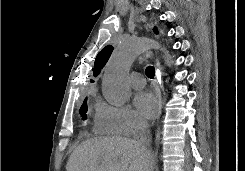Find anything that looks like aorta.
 <instances>
[{"mask_svg":"<svg viewBox=\"0 0 245 171\" xmlns=\"http://www.w3.org/2000/svg\"><path fill=\"white\" fill-rule=\"evenodd\" d=\"M150 49H160L165 63L171 67L172 57L160 44L146 37L124 38L111 56L104 73L102 93L114 106H123L131 97L127 76L136 58Z\"/></svg>","mask_w":245,"mask_h":171,"instance_id":"1","label":"aorta"}]
</instances>
